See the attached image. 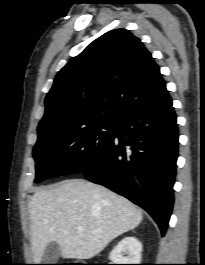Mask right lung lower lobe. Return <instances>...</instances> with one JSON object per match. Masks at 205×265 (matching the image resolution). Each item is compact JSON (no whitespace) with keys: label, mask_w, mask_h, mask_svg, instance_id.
Returning a JSON list of instances; mask_svg holds the SVG:
<instances>
[{"label":"right lung lower lobe","mask_w":205,"mask_h":265,"mask_svg":"<svg viewBox=\"0 0 205 265\" xmlns=\"http://www.w3.org/2000/svg\"><path fill=\"white\" fill-rule=\"evenodd\" d=\"M177 157L176 115L165 90L147 107L119 119L112 140L81 172L145 209L164 235Z\"/></svg>","instance_id":"obj_1"}]
</instances>
